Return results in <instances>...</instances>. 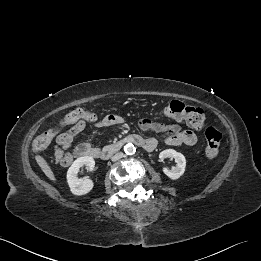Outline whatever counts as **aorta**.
Returning a JSON list of instances; mask_svg holds the SVG:
<instances>
[{"instance_id": "aorta-1", "label": "aorta", "mask_w": 261, "mask_h": 261, "mask_svg": "<svg viewBox=\"0 0 261 261\" xmlns=\"http://www.w3.org/2000/svg\"><path fill=\"white\" fill-rule=\"evenodd\" d=\"M124 152L126 155H133L136 152V147L132 143H128L124 146Z\"/></svg>"}]
</instances>
